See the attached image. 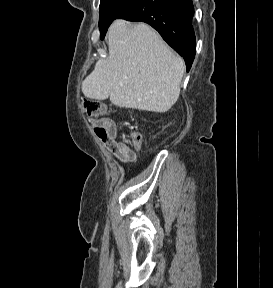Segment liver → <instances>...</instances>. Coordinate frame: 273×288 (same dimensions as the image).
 I'll return each mask as SVG.
<instances>
[{"mask_svg":"<svg viewBox=\"0 0 273 288\" xmlns=\"http://www.w3.org/2000/svg\"><path fill=\"white\" fill-rule=\"evenodd\" d=\"M109 55L82 82L85 97L118 107L167 112L177 101L184 62L149 25L116 20L108 31Z\"/></svg>","mask_w":273,"mask_h":288,"instance_id":"6515ba94","label":"liver"}]
</instances>
